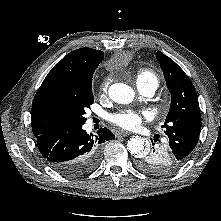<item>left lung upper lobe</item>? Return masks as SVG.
Instances as JSON below:
<instances>
[{
  "instance_id": "obj_1",
  "label": "left lung upper lobe",
  "mask_w": 221,
  "mask_h": 221,
  "mask_svg": "<svg viewBox=\"0 0 221 221\" xmlns=\"http://www.w3.org/2000/svg\"><path fill=\"white\" fill-rule=\"evenodd\" d=\"M156 57L171 93V106L162 128L173 154L185 162L197 145L201 131L198 97L188 76L172 59L160 51Z\"/></svg>"
}]
</instances>
